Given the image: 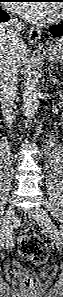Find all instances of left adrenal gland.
Here are the masks:
<instances>
[{"label": "left adrenal gland", "mask_w": 63, "mask_h": 297, "mask_svg": "<svg viewBox=\"0 0 63 297\" xmlns=\"http://www.w3.org/2000/svg\"><path fill=\"white\" fill-rule=\"evenodd\" d=\"M49 81L50 83H52L53 85H61L62 82L58 80V78L56 76L52 75V72L49 73Z\"/></svg>", "instance_id": "a2214340"}]
</instances>
